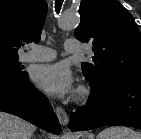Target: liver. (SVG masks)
<instances>
[{"mask_svg": "<svg viewBox=\"0 0 141 139\" xmlns=\"http://www.w3.org/2000/svg\"><path fill=\"white\" fill-rule=\"evenodd\" d=\"M36 126L12 114L0 112V139H31Z\"/></svg>", "mask_w": 141, "mask_h": 139, "instance_id": "1", "label": "liver"}]
</instances>
